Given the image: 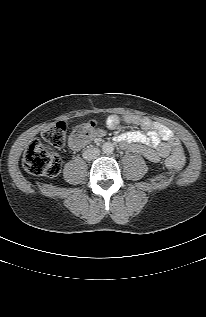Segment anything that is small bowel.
<instances>
[{"instance_id":"c3829d8e","label":"small bowel","mask_w":206,"mask_h":317,"mask_svg":"<svg viewBox=\"0 0 206 317\" xmlns=\"http://www.w3.org/2000/svg\"><path fill=\"white\" fill-rule=\"evenodd\" d=\"M121 122L140 127V130L127 131L116 136L123 148L138 153L151 162H159L169 155L172 142L176 138L168 127L138 115H111L106 121L109 128H115ZM86 142L87 140L76 141L73 136L70 139V145L75 150L82 148Z\"/></svg>"}]
</instances>
